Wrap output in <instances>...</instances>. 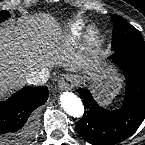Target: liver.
Instances as JSON below:
<instances>
[{
  "mask_svg": "<svg viewBox=\"0 0 145 145\" xmlns=\"http://www.w3.org/2000/svg\"><path fill=\"white\" fill-rule=\"evenodd\" d=\"M19 22L18 27L0 29L1 90L18 87L32 70L50 65L59 49L60 26L55 19L43 14ZM65 57L77 64L75 58Z\"/></svg>",
  "mask_w": 145,
  "mask_h": 145,
  "instance_id": "obj_1",
  "label": "liver"
}]
</instances>
